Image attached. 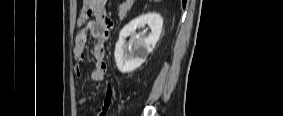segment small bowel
<instances>
[{"mask_svg": "<svg viewBox=\"0 0 283 116\" xmlns=\"http://www.w3.org/2000/svg\"><path fill=\"white\" fill-rule=\"evenodd\" d=\"M104 0H85L83 9L78 19V25L81 27L77 33L74 43V56L78 61L75 72L78 77L83 75L81 63L84 62L86 55L85 49L90 35L94 40L93 58L94 69L90 78L93 82H103L107 73V64L105 62L104 43L108 39L109 30L112 27V21L106 13ZM114 97V87L111 82H107L104 100L96 116H107L112 105ZM87 104V98L81 97L78 100V106Z\"/></svg>", "mask_w": 283, "mask_h": 116, "instance_id": "1", "label": "small bowel"}]
</instances>
